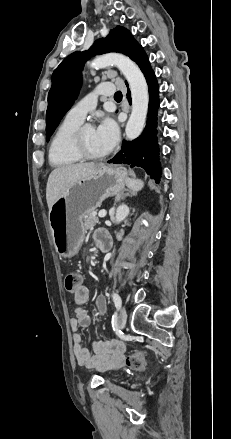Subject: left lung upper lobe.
Listing matches in <instances>:
<instances>
[{"instance_id": "1", "label": "left lung upper lobe", "mask_w": 231, "mask_h": 439, "mask_svg": "<svg viewBox=\"0 0 231 439\" xmlns=\"http://www.w3.org/2000/svg\"><path fill=\"white\" fill-rule=\"evenodd\" d=\"M143 51L128 30L117 26L106 36L97 40L89 51L74 52L66 57L52 74V86L48 94L46 113V136H50L60 120L71 108L81 84V71L86 60L93 55L121 52L133 61Z\"/></svg>"}]
</instances>
